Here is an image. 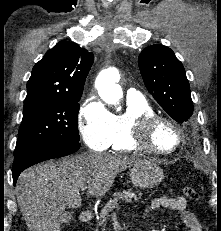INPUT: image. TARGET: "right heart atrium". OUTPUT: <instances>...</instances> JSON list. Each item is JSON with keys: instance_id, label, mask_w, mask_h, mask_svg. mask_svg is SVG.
Wrapping results in <instances>:
<instances>
[{"instance_id": "1", "label": "right heart atrium", "mask_w": 221, "mask_h": 231, "mask_svg": "<svg viewBox=\"0 0 221 231\" xmlns=\"http://www.w3.org/2000/svg\"><path fill=\"white\" fill-rule=\"evenodd\" d=\"M113 114L96 96L90 95L82 103L78 126L83 142L92 150L106 149L112 137Z\"/></svg>"}]
</instances>
